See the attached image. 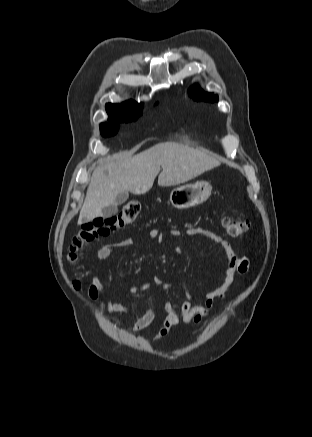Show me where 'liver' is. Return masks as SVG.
<instances>
[{"mask_svg": "<svg viewBox=\"0 0 312 437\" xmlns=\"http://www.w3.org/2000/svg\"><path fill=\"white\" fill-rule=\"evenodd\" d=\"M220 165L206 150L176 142L159 143L121 161L101 158L93 171L78 224L101 216L104 207L115 204L121 192L144 194L158 177L159 186L187 182Z\"/></svg>", "mask_w": 312, "mask_h": 437, "instance_id": "1", "label": "liver"}]
</instances>
